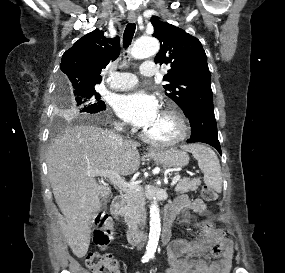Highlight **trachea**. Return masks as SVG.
I'll return each mask as SVG.
<instances>
[{
    "label": "trachea",
    "instance_id": "trachea-1",
    "mask_svg": "<svg viewBox=\"0 0 285 273\" xmlns=\"http://www.w3.org/2000/svg\"><path fill=\"white\" fill-rule=\"evenodd\" d=\"M136 29V25L134 23H128L124 34H123V45L127 49L129 45L131 44L132 38L134 36Z\"/></svg>",
    "mask_w": 285,
    "mask_h": 273
}]
</instances>
